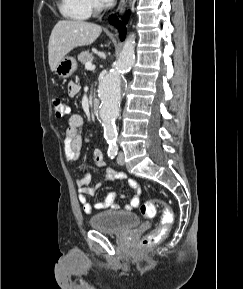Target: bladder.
<instances>
[{"mask_svg":"<svg viewBox=\"0 0 243 289\" xmlns=\"http://www.w3.org/2000/svg\"><path fill=\"white\" fill-rule=\"evenodd\" d=\"M90 226L100 232L120 234L140 224L137 214L128 211L107 210L93 215Z\"/></svg>","mask_w":243,"mask_h":289,"instance_id":"1","label":"bladder"}]
</instances>
